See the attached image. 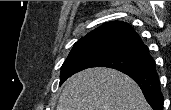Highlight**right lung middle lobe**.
I'll return each mask as SVG.
<instances>
[{
  "label": "right lung middle lobe",
  "mask_w": 171,
  "mask_h": 110,
  "mask_svg": "<svg viewBox=\"0 0 171 110\" xmlns=\"http://www.w3.org/2000/svg\"><path fill=\"white\" fill-rule=\"evenodd\" d=\"M109 67L121 72L145 71L155 66L152 57L130 48L105 43L74 46L61 67L60 85L71 75L91 67Z\"/></svg>",
  "instance_id": "1"
}]
</instances>
